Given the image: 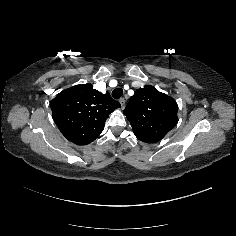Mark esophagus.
Returning <instances> with one entry per match:
<instances>
[{
    "label": "esophagus",
    "mask_w": 236,
    "mask_h": 236,
    "mask_svg": "<svg viewBox=\"0 0 236 236\" xmlns=\"http://www.w3.org/2000/svg\"><path fill=\"white\" fill-rule=\"evenodd\" d=\"M119 102L121 104V108L124 109V107H125V99L124 98H120Z\"/></svg>",
    "instance_id": "esophagus-1"
}]
</instances>
